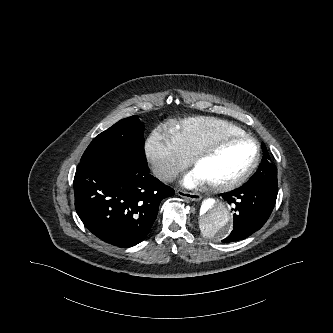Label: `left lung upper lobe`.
<instances>
[{
  "label": "left lung upper lobe",
  "mask_w": 333,
  "mask_h": 333,
  "mask_svg": "<svg viewBox=\"0 0 333 333\" xmlns=\"http://www.w3.org/2000/svg\"><path fill=\"white\" fill-rule=\"evenodd\" d=\"M245 184L278 186L277 168L272 164L268 153H263L262 162L260 163L258 170Z\"/></svg>",
  "instance_id": "1"
}]
</instances>
